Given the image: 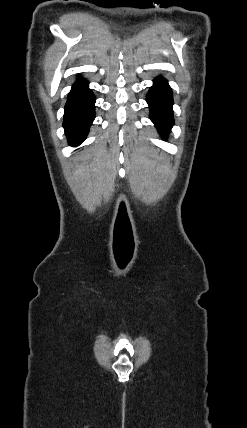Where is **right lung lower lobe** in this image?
<instances>
[{
	"mask_svg": "<svg viewBox=\"0 0 247 428\" xmlns=\"http://www.w3.org/2000/svg\"><path fill=\"white\" fill-rule=\"evenodd\" d=\"M95 96L84 79L77 80L68 94L63 127L71 146L81 144L95 118Z\"/></svg>",
	"mask_w": 247,
	"mask_h": 428,
	"instance_id": "1",
	"label": "right lung lower lobe"
}]
</instances>
